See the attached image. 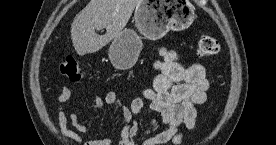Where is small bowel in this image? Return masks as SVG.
Here are the masks:
<instances>
[{
  "instance_id": "1",
  "label": "small bowel",
  "mask_w": 276,
  "mask_h": 145,
  "mask_svg": "<svg viewBox=\"0 0 276 145\" xmlns=\"http://www.w3.org/2000/svg\"><path fill=\"white\" fill-rule=\"evenodd\" d=\"M161 57L155 63L158 75L153 80V85L145 89L141 97L135 98L129 105L123 104L116 91H109L102 98L92 96L91 107L103 110L107 106L119 109L123 119L118 145H135L136 141L144 136L143 145H179L183 135L178 131L179 126L185 125L193 129L197 120V107L205 103L209 81L206 76V68L201 64L184 66L179 63L176 52L165 48H159ZM74 89L64 86L57 96L55 113L61 134L76 143L82 142V134L87 132V126L83 119L76 113H67L65 104L72 98ZM145 107L157 111L160 119L151 118L150 127L142 132L135 115L142 113ZM71 123L76 132L68 128ZM166 128L159 131L160 125ZM112 137L105 136L92 139L85 145H111Z\"/></svg>"
}]
</instances>
